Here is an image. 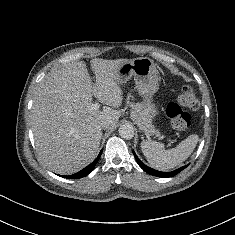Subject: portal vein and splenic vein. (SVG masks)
<instances>
[{"label": "portal vein and splenic vein", "mask_w": 235, "mask_h": 235, "mask_svg": "<svg viewBox=\"0 0 235 235\" xmlns=\"http://www.w3.org/2000/svg\"><path fill=\"white\" fill-rule=\"evenodd\" d=\"M99 107H100L99 103H95V104H92L91 109L92 110H97V109H99ZM156 136H160V135L157 134Z\"/></svg>", "instance_id": "portal-vein-and-splenic-vein-1"}]
</instances>
